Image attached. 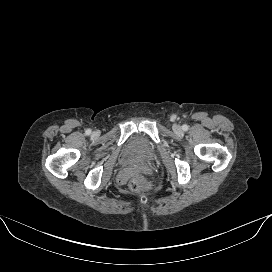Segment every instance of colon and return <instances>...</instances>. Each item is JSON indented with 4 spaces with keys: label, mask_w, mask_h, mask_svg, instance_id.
I'll list each match as a JSON object with an SVG mask.
<instances>
[{
    "label": "colon",
    "mask_w": 272,
    "mask_h": 272,
    "mask_svg": "<svg viewBox=\"0 0 272 272\" xmlns=\"http://www.w3.org/2000/svg\"><path fill=\"white\" fill-rule=\"evenodd\" d=\"M129 187L135 192H145L151 188V185L144 177L135 176L130 180Z\"/></svg>",
    "instance_id": "obj_1"
}]
</instances>
